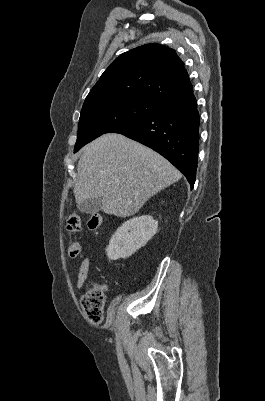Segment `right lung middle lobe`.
Returning <instances> with one entry per match:
<instances>
[{
	"instance_id": "dd1d6c3e",
	"label": "right lung middle lobe",
	"mask_w": 265,
	"mask_h": 401,
	"mask_svg": "<svg viewBox=\"0 0 265 401\" xmlns=\"http://www.w3.org/2000/svg\"><path fill=\"white\" fill-rule=\"evenodd\" d=\"M160 105L152 100L120 99L83 106L74 152L105 133H112L154 113Z\"/></svg>"
}]
</instances>
